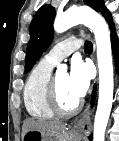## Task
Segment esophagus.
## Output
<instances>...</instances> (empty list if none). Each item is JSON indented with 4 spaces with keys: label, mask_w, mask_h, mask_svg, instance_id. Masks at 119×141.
<instances>
[{
    "label": "esophagus",
    "mask_w": 119,
    "mask_h": 141,
    "mask_svg": "<svg viewBox=\"0 0 119 141\" xmlns=\"http://www.w3.org/2000/svg\"><path fill=\"white\" fill-rule=\"evenodd\" d=\"M91 107L88 105L83 111L80 118L75 120L73 128L74 130L81 132L83 134H88L91 129Z\"/></svg>",
    "instance_id": "esophagus-1"
}]
</instances>
